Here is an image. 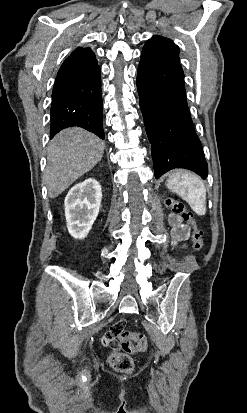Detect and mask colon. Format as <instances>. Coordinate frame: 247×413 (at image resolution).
Wrapping results in <instances>:
<instances>
[{"mask_svg":"<svg viewBox=\"0 0 247 413\" xmlns=\"http://www.w3.org/2000/svg\"><path fill=\"white\" fill-rule=\"evenodd\" d=\"M163 204L174 212L176 217H181L182 221L190 226L192 229L191 241L193 249L201 251L204 247L203 234L199 229L195 228L193 217L186 206L181 201L170 197H165ZM119 340H124V342H130L132 344V349L130 350L132 354L143 355L148 349L147 340L143 333L134 334L133 332H122ZM109 363L119 372H130L134 368L133 359L128 358L126 353H112L109 356Z\"/></svg>","mask_w":247,"mask_h":413,"instance_id":"5ec220e1","label":"colon"}]
</instances>
